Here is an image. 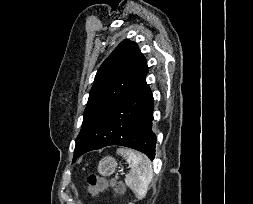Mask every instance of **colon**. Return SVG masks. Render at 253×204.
<instances>
[{"label": "colon", "mask_w": 253, "mask_h": 204, "mask_svg": "<svg viewBox=\"0 0 253 204\" xmlns=\"http://www.w3.org/2000/svg\"><path fill=\"white\" fill-rule=\"evenodd\" d=\"M107 184V180L95 173H91L88 175V188L87 191L91 195H96L101 192ZM115 186L116 191L122 192L123 185L120 183H113Z\"/></svg>", "instance_id": "obj_1"}]
</instances>
